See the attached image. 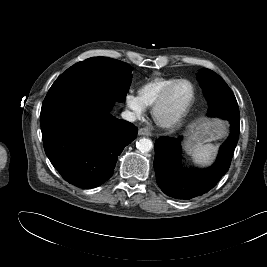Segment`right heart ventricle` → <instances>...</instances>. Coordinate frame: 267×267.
Instances as JSON below:
<instances>
[{
	"instance_id": "right-heart-ventricle-1",
	"label": "right heart ventricle",
	"mask_w": 267,
	"mask_h": 267,
	"mask_svg": "<svg viewBox=\"0 0 267 267\" xmlns=\"http://www.w3.org/2000/svg\"><path fill=\"white\" fill-rule=\"evenodd\" d=\"M178 78L156 77L142 84L138 89V96L145 106H152L163 90Z\"/></svg>"
}]
</instances>
